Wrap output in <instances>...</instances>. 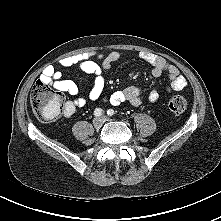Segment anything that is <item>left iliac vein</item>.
I'll return each instance as SVG.
<instances>
[{
  "label": "left iliac vein",
  "mask_w": 221,
  "mask_h": 221,
  "mask_svg": "<svg viewBox=\"0 0 221 221\" xmlns=\"http://www.w3.org/2000/svg\"><path fill=\"white\" fill-rule=\"evenodd\" d=\"M101 118L104 120V122L109 120V118L106 116H102Z\"/></svg>",
  "instance_id": "left-iliac-vein-1"
}]
</instances>
